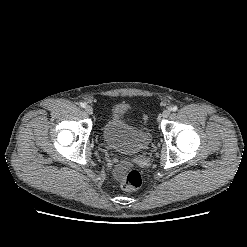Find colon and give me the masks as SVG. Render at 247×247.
<instances>
[{
  "label": "colon",
  "instance_id": "obj_1",
  "mask_svg": "<svg viewBox=\"0 0 247 247\" xmlns=\"http://www.w3.org/2000/svg\"><path fill=\"white\" fill-rule=\"evenodd\" d=\"M142 175L138 170L129 171L121 182V186L126 191H134L140 188Z\"/></svg>",
  "mask_w": 247,
  "mask_h": 247
}]
</instances>
